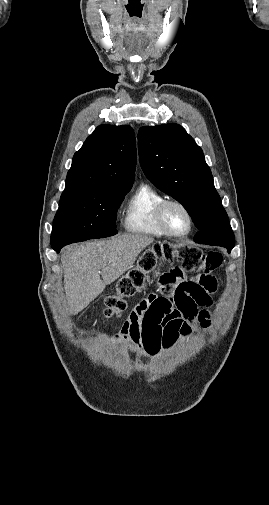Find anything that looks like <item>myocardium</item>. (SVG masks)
Listing matches in <instances>:
<instances>
[{
  "instance_id": "f54148a6",
  "label": "myocardium",
  "mask_w": 269,
  "mask_h": 505,
  "mask_svg": "<svg viewBox=\"0 0 269 505\" xmlns=\"http://www.w3.org/2000/svg\"><path fill=\"white\" fill-rule=\"evenodd\" d=\"M171 204L177 205L180 208H182L188 217L189 227H188L187 231L184 233H175V232L171 231L165 223L164 212H165L166 207ZM155 219H156L158 226L161 228V230L166 235H168L170 237H175V238L186 237L191 233V231L193 230V227H194V217H193L191 210L188 208V206L186 204H184L182 201L177 200V199H163L161 202H159L155 208Z\"/></svg>"
}]
</instances>
